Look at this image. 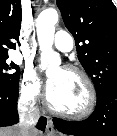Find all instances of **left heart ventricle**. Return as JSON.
<instances>
[{
  "instance_id": "left-heart-ventricle-1",
  "label": "left heart ventricle",
  "mask_w": 117,
  "mask_h": 136,
  "mask_svg": "<svg viewBox=\"0 0 117 136\" xmlns=\"http://www.w3.org/2000/svg\"><path fill=\"white\" fill-rule=\"evenodd\" d=\"M51 77H58L56 86L49 91L52 106L67 112H78L85 108L88 93L82 79L66 70L56 69Z\"/></svg>"
}]
</instances>
